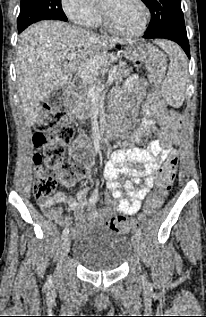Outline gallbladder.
Masks as SVG:
<instances>
[{
	"label": "gallbladder",
	"instance_id": "bac80fb5",
	"mask_svg": "<svg viewBox=\"0 0 206 317\" xmlns=\"http://www.w3.org/2000/svg\"><path fill=\"white\" fill-rule=\"evenodd\" d=\"M64 88H59L52 91L45 99L46 103L53 109H58L63 106L65 102Z\"/></svg>",
	"mask_w": 206,
	"mask_h": 317
}]
</instances>
